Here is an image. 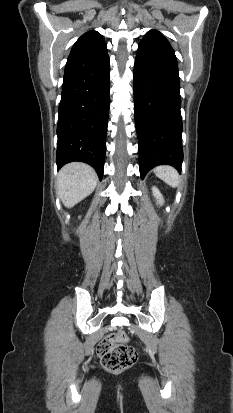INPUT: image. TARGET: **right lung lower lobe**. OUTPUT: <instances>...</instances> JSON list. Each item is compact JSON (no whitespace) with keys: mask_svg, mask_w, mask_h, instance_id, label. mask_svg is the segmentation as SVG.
<instances>
[{"mask_svg":"<svg viewBox=\"0 0 233 413\" xmlns=\"http://www.w3.org/2000/svg\"><path fill=\"white\" fill-rule=\"evenodd\" d=\"M106 43L70 53L63 77L56 162L81 161L102 179L110 104Z\"/></svg>","mask_w":233,"mask_h":413,"instance_id":"right-lung-lower-lobe-1","label":"right lung lower lobe"}]
</instances>
